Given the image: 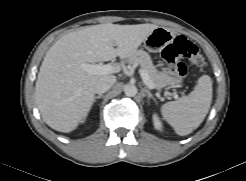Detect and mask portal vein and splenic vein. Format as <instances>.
<instances>
[{"label": "portal vein and splenic vein", "instance_id": "portal-vein-and-splenic-vein-1", "mask_svg": "<svg viewBox=\"0 0 246 181\" xmlns=\"http://www.w3.org/2000/svg\"><path fill=\"white\" fill-rule=\"evenodd\" d=\"M80 67L86 71L88 74H111L113 73V66L110 64L102 65V64H89V63H82L80 64ZM140 76L142 77L143 82L146 86H148L150 89L154 88L153 82L150 80L149 75L140 69L139 71ZM174 98L177 99L178 95L174 93Z\"/></svg>", "mask_w": 246, "mask_h": 181}]
</instances>
